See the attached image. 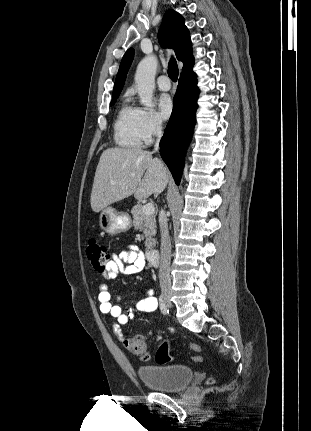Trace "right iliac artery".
I'll list each match as a JSON object with an SVG mask.
<instances>
[{
	"label": "right iliac artery",
	"instance_id": "obj_1",
	"mask_svg": "<svg viewBox=\"0 0 311 431\" xmlns=\"http://www.w3.org/2000/svg\"><path fill=\"white\" fill-rule=\"evenodd\" d=\"M159 305H160V310L164 315L169 313V310H168V307H167V304L164 300L163 295H160V297H159Z\"/></svg>",
	"mask_w": 311,
	"mask_h": 431
}]
</instances>
